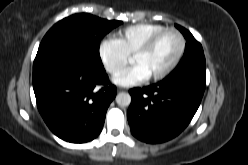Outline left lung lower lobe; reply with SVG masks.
Masks as SVG:
<instances>
[{
    "label": "left lung lower lobe",
    "mask_w": 248,
    "mask_h": 165,
    "mask_svg": "<svg viewBox=\"0 0 248 165\" xmlns=\"http://www.w3.org/2000/svg\"><path fill=\"white\" fill-rule=\"evenodd\" d=\"M206 86V67H194L162 81L129 90L127 112L132 134L147 143H161L180 134L196 113Z\"/></svg>",
    "instance_id": "left-lung-lower-lobe-1"
}]
</instances>
